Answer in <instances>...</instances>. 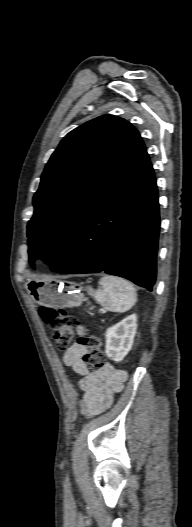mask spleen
Segmentation results:
<instances>
[{
	"label": "spleen",
	"instance_id": "obj_1",
	"mask_svg": "<svg viewBox=\"0 0 192 527\" xmlns=\"http://www.w3.org/2000/svg\"><path fill=\"white\" fill-rule=\"evenodd\" d=\"M99 284L98 290L94 291L91 287L88 290L97 303L105 309L122 313L135 305L137 301L136 289L125 279L104 275Z\"/></svg>",
	"mask_w": 192,
	"mask_h": 527
}]
</instances>
